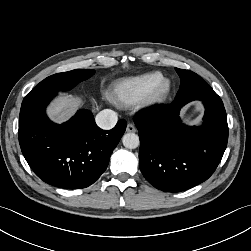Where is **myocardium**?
I'll use <instances>...</instances> for the list:
<instances>
[{
    "instance_id": "myocardium-1",
    "label": "myocardium",
    "mask_w": 251,
    "mask_h": 251,
    "mask_svg": "<svg viewBox=\"0 0 251 251\" xmlns=\"http://www.w3.org/2000/svg\"><path fill=\"white\" fill-rule=\"evenodd\" d=\"M171 92V82L168 79L160 81L143 100L146 106H155L166 101Z\"/></svg>"
}]
</instances>
